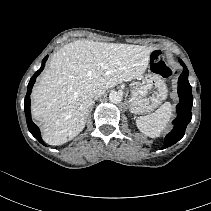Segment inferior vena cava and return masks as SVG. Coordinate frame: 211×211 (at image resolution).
Returning <instances> with one entry per match:
<instances>
[{
    "label": "inferior vena cava",
    "mask_w": 211,
    "mask_h": 211,
    "mask_svg": "<svg viewBox=\"0 0 211 211\" xmlns=\"http://www.w3.org/2000/svg\"><path fill=\"white\" fill-rule=\"evenodd\" d=\"M105 93V90L103 89H96L94 92H93V96L95 99L101 97L102 95H104Z\"/></svg>",
    "instance_id": "obj_1"
}]
</instances>
